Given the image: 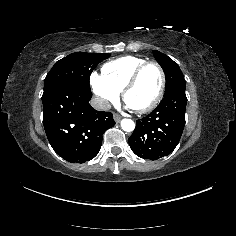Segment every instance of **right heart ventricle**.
Instances as JSON below:
<instances>
[{
    "label": "right heart ventricle",
    "instance_id": "obj_1",
    "mask_svg": "<svg viewBox=\"0 0 236 236\" xmlns=\"http://www.w3.org/2000/svg\"><path fill=\"white\" fill-rule=\"evenodd\" d=\"M147 60L137 56H122L108 61L101 68V75L116 92H122L133 71Z\"/></svg>",
    "mask_w": 236,
    "mask_h": 236
}]
</instances>
